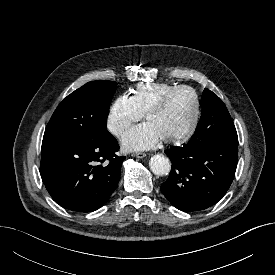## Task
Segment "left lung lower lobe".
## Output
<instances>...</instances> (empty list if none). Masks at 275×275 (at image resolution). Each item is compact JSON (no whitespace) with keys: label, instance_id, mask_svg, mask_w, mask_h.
<instances>
[{"label":"left lung lower lobe","instance_id":"left-lung-lower-lobe-1","mask_svg":"<svg viewBox=\"0 0 275 275\" xmlns=\"http://www.w3.org/2000/svg\"><path fill=\"white\" fill-rule=\"evenodd\" d=\"M172 162L161 191L184 212L205 210L220 201L229 189L237 167L238 145L199 144L170 147Z\"/></svg>","mask_w":275,"mask_h":275}]
</instances>
